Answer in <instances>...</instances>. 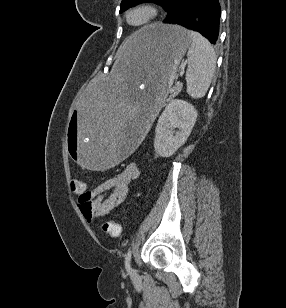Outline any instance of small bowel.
Segmentation results:
<instances>
[{
  "mask_svg": "<svg viewBox=\"0 0 286 308\" xmlns=\"http://www.w3.org/2000/svg\"><path fill=\"white\" fill-rule=\"evenodd\" d=\"M139 170L135 163L127 164L121 172L103 181L91 190L75 193L78 207L83 217L92 222L118 208L126 199L130 184L138 177Z\"/></svg>",
  "mask_w": 286,
  "mask_h": 308,
  "instance_id": "small-bowel-1",
  "label": "small bowel"
}]
</instances>
